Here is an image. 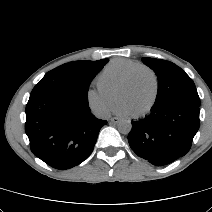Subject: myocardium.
Segmentation results:
<instances>
[{"instance_id": "1", "label": "myocardium", "mask_w": 212, "mask_h": 212, "mask_svg": "<svg viewBox=\"0 0 212 212\" xmlns=\"http://www.w3.org/2000/svg\"><path fill=\"white\" fill-rule=\"evenodd\" d=\"M140 72H147L151 76V78L153 80L154 88H153V95H152V98H151L149 104L141 111L133 113V117H135V118L143 117V116L147 115L153 109V107L155 106V104L157 102L159 90H160L159 78H158L156 72L148 66L141 65V66L135 68L129 74V76L126 78L124 83L121 85L119 92H118V99H120L121 94L130 87V85L134 81V78Z\"/></svg>"}]
</instances>
